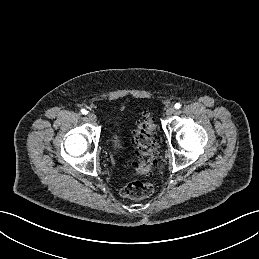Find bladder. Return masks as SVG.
<instances>
[{
  "label": "bladder",
  "mask_w": 259,
  "mask_h": 259,
  "mask_svg": "<svg viewBox=\"0 0 259 259\" xmlns=\"http://www.w3.org/2000/svg\"><path fill=\"white\" fill-rule=\"evenodd\" d=\"M110 144L116 153L122 152V140L120 137V131L118 129L112 132L110 137Z\"/></svg>",
  "instance_id": "bladder-1"
}]
</instances>
